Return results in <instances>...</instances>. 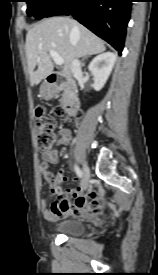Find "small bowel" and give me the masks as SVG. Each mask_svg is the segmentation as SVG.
I'll return each instance as SVG.
<instances>
[{
	"label": "small bowel",
	"instance_id": "1",
	"mask_svg": "<svg viewBox=\"0 0 158 275\" xmlns=\"http://www.w3.org/2000/svg\"><path fill=\"white\" fill-rule=\"evenodd\" d=\"M71 131L66 127L59 129L57 146H65L71 140ZM60 159L58 148L43 153V161L40 165V172L44 180L49 184L52 194L58 195L56 191V180L54 175L49 171V166L57 164ZM62 174V170L60 171ZM83 185L68 189L60 201H56L48 208L47 201L41 200V210L44 218L48 221H54L61 217L77 216L90 217L100 212L104 207L103 200L99 197L98 192L92 189L86 193Z\"/></svg>",
	"mask_w": 158,
	"mask_h": 275
}]
</instances>
